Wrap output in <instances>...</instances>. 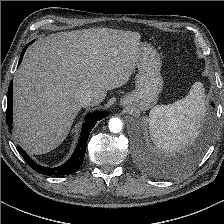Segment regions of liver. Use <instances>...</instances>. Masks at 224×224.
Listing matches in <instances>:
<instances>
[{"label":"liver","instance_id":"obj_1","mask_svg":"<svg viewBox=\"0 0 224 224\" xmlns=\"http://www.w3.org/2000/svg\"><path fill=\"white\" fill-rule=\"evenodd\" d=\"M137 32L108 28L60 32L35 42L15 74V138L29 154H44L67 137L92 95L98 104L107 91L126 84L141 53Z\"/></svg>","mask_w":224,"mask_h":224}]
</instances>
